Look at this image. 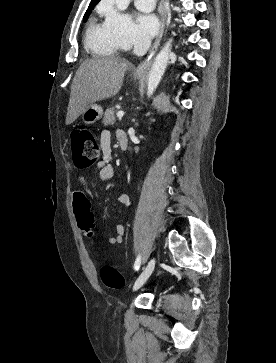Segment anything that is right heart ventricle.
Listing matches in <instances>:
<instances>
[{
    "label": "right heart ventricle",
    "instance_id": "right-heart-ventricle-1",
    "mask_svg": "<svg viewBox=\"0 0 276 363\" xmlns=\"http://www.w3.org/2000/svg\"><path fill=\"white\" fill-rule=\"evenodd\" d=\"M85 46L93 55L100 57L113 56L121 48L106 23H99L95 19L88 25Z\"/></svg>",
    "mask_w": 276,
    "mask_h": 363
}]
</instances>
